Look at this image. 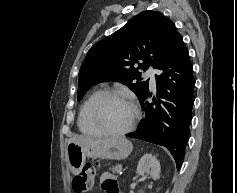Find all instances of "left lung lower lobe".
I'll list each match as a JSON object with an SVG mask.
<instances>
[{"label": "left lung lower lobe", "instance_id": "obj_1", "mask_svg": "<svg viewBox=\"0 0 237 193\" xmlns=\"http://www.w3.org/2000/svg\"><path fill=\"white\" fill-rule=\"evenodd\" d=\"M156 76L157 98L149 90L140 100L145 113L138 129L128 137L144 140L168 148L179 170L189 137V125L194 103L195 79L188 50L180 39L158 66Z\"/></svg>", "mask_w": 237, "mask_h": 193}]
</instances>
